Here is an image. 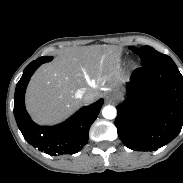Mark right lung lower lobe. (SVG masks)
Returning a JSON list of instances; mask_svg holds the SVG:
<instances>
[{
  "label": "right lung lower lobe",
  "instance_id": "obj_1",
  "mask_svg": "<svg viewBox=\"0 0 183 183\" xmlns=\"http://www.w3.org/2000/svg\"><path fill=\"white\" fill-rule=\"evenodd\" d=\"M46 61L40 57L24 69L14 95L15 119L25 140L39 151L52 156L74 154L87 143L90 126L100 112L103 99L81 108L61 124L52 127L35 124L25 109V90L32 74Z\"/></svg>",
  "mask_w": 183,
  "mask_h": 183
}]
</instances>
